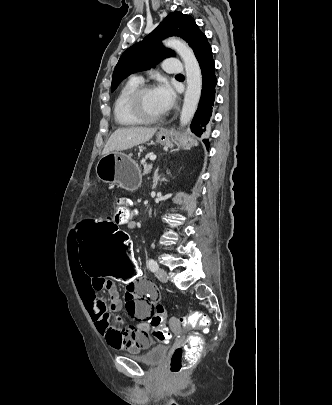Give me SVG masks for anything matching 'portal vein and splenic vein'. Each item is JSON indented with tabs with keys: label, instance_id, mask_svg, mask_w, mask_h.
I'll use <instances>...</instances> for the list:
<instances>
[{
	"label": "portal vein and splenic vein",
	"instance_id": "portal-vein-and-splenic-vein-1",
	"mask_svg": "<svg viewBox=\"0 0 332 405\" xmlns=\"http://www.w3.org/2000/svg\"><path fill=\"white\" fill-rule=\"evenodd\" d=\"M155 159H156V156H155V155H153V156L150 157V160H152V161H154Z\"/></svg>",
	"mask_w": 332,
	"mask_h": 405
}]
</instances>
